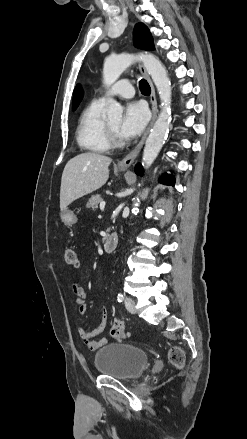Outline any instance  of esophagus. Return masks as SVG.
I'll list each match as a JSON object with an SVG mask.
<instances>
[{"instance_id":"esophagus-1","label":"esophagus","mask_w":247,"mask_h":439,"mask_svg":"<svg viewBox=\"0 0 247 439\" xmlns=\"http://www.w3.org/2000/svg\"><path fill=\"white\" fill-rule=\"evenodd\" d=\"M139 69L141 71V73L144 75V77L147 79L150 88H151V96H150V101H151V106H152V120L147 128V130L145 131L142 139L140 140V142L137 144V146L128 154L126 155L123 159H121L117 166L119 169H128L131 164L134 162V160L136 159V157L138 156V154L140 153L144 142L150 132L151 127L154 124V121L157 117V113H158V106H157V99H156V94H155V88L154 85L152 83V80L146 70V68L144 67L143 64L139 65Z\"/></svg>"}]
</instances>
